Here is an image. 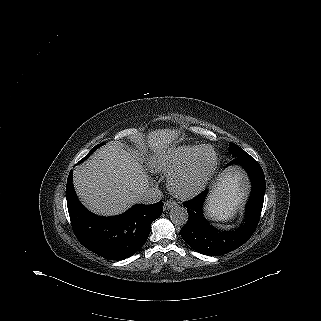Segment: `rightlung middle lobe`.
<instances>
[{"label": "right lung middle lobe", "instance_id": "obj_1", "mask_svg": "<svg viewBox=\"0 0 321 321\" xmlns=\"http://www.w3.org/2000/svg\"><path fill=\"white\" fill-rule=\"evenodd\" d=\"M101 145H103V144H98V145H96V146L88 153V155H86L82 160L79 161V163H81L82 161L86 160V159L89 157V155H91V154H92L99 146H101Z\"/></svg>", "mask_w": 321, "mask_h": 321}]
</instances>
